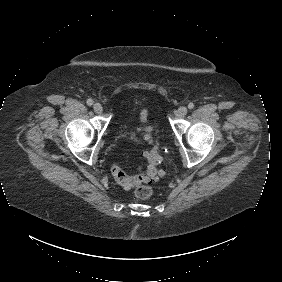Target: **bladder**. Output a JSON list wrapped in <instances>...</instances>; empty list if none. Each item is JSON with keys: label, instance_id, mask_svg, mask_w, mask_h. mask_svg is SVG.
Wrapping results in <instances>:
<instances>
[{"label": "bladder", "instance_id": "1", "mask_svg": "<svg viewBox=\"0 0 282 282\" xmlns=\"http://www.w3.org/2000/svg\"><path fill=\"white\" fill-rule=\"evenodd\" d=\"M123 134H124V137L131 142L138 141L137 135L135 134L132 127L128 123L124 125Z\"/></svg>", "mask_w": 282, "mask_h": 282}]
</instances>
